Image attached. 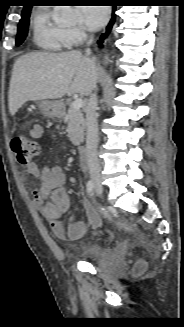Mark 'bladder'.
I'll use <instances>...</instances> for the list:
<instances>
[{
  "label": "bladder",
  "instance_id": "bladder-1",
  "mask_svg": "<svg viewBox=\"0 0 184 327\" xmlns=\"http://www.w3.org/2000/svg\"><path fill=\"white\" fill-rule=\"evenodd\" d=\"M81 255L85 259L92 261L108 259L113 263L114 267L118 269H123L125 267V262L122 258L116 257L111 249L99 243H93L83 247L81 249Z\"/></svg>",
  "mask_w": 184,
  "mask_h": 327
}]
</instances>
